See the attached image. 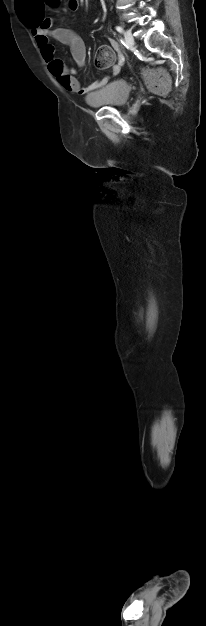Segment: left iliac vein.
Returning <instances> with one entry per match:
<instances>
[{
    "instance_id": "obj_1",
    "label": "left iliac vein",
    "mask_w": 206,
    "mask_h": 626,
    "mask_svg": "<svg viewBox=\"0 0 206 626\" xmlns=\"http://www.w3.org/2000/svg\"><path fill=\"white\" fill-rule=\"evenodd\" d=\"M125 41L132 48L134 47V38L130 30H126L124 33Z\"/></svg>"
}]
</instances>
